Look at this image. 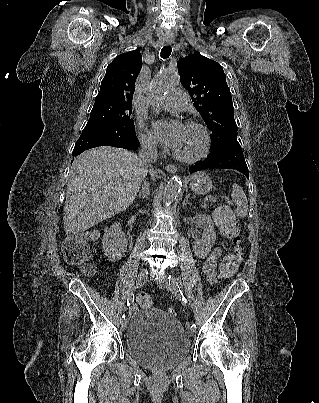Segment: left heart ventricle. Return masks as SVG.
Here are the masks:
<instances>
[{
    "label": "left heart ventricle",
    "mask_w": 319,
    "mask_h": 403,
    "mask_svg": "<svg viewBox=\"0 0 319 403\" xmlns=\"http://www.w3.org/2000/svg\"><path fill=\"white\" fill-rule=\"evenodd\" d=\"M202 145L200 132L195 128L184 126L182 138L175 150L184 156H194L200 152Z\"/></svg>",
    "instance_id": "b2bd125f"
}]
</instances>
